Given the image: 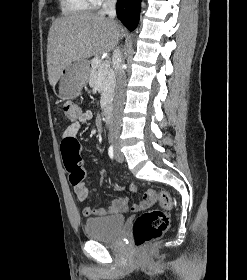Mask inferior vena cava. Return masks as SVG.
<instances>
[{"label":"inferior vena cava","mask_w":247,"mask_h":280,"mask_svg":"<svg viewBox=\"0 0 247 280\" xmlns=\"http://www.w3.org/2000/svg\"><path fill=\"white\" fill-rule=\"evenodd\" d=\"M116 1L117 0H104L102 9L99 14H108L109 18L113 21L116 16ZM113 63L116 73V92L114 98V110L112 114L110 129H109V141L115 142L119 139L121 128V113L125 100V72L122 68V56L121 51L118 48L113 53Z\"/></svg>","instance_id":"1"}]
</instances>
